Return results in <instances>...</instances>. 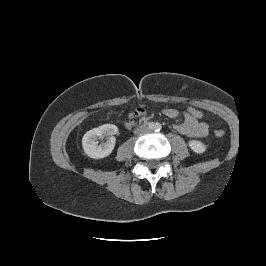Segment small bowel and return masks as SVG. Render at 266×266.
<instances>
[{
	"label": "small bowel",
	"instance_id": "small-bowel-1",
	"mask_svg": "<svg viewBox=\"0 0 266 266\" xmlns=\"http://www.w3.org/2000/svg\"><path fill=\"white\" fill-rule=\"evenodd\" d=\"M163 114L171 119H177L179 112L174 108H165ZM145 115L143 108H136L132 113L131 117L137 118ZM184 122L175 125V129L188 137L202 138L208 134V125L197 119H194L188 113L184 114Z\"/></svg>",
	"mask_w": 266,
	"mask_h": 266
}]
</instances>
